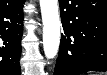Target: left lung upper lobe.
<instances>
[{
  "mask_svg": "<svg viewBox=\"0 0 107 75\" xmlns=\"http://www.w3.org/2000/svg\"><path fill=\"white\" fill-rule=\"evenodd\" d=\"M84 33V25L80 18L77 16L72 22L68 24V30L66 38L72 39L73 41L80 39Z\"/></svg>",
  "mask_w": 107,
  "mask_h": 75,
  "instance_id": "1",
  "label": "left lung upper lobe"
}]
</instances>
